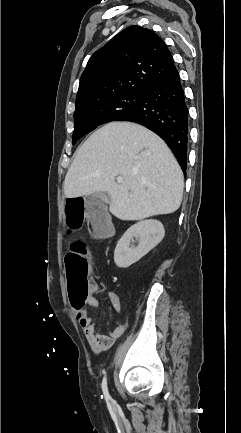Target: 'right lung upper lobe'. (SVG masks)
I'll list each match as a JSON object with an SVG mask.
<instances>
[{
    "instance_id": "1",
    "label": "right lung upper lobe",
    "mask_w": 241,
    "mask_h": 433,
    "mask_svg": "<svg viewBox=\"0 0 241 433\" xmlns=\"http://www.w3.org/2000/svg\"><path fill=\"white\" fill-rule=\"evenodd\" d=\"M176 71L164 41L149 29L130 26L89 59L76 104L126 91H140Z\"/></svg>"
}]
</instances>
